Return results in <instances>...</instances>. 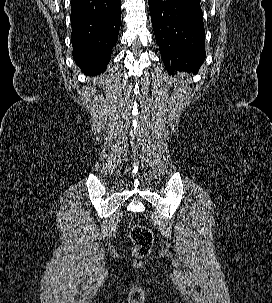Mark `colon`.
Wrapping results in <instances>:
<instances>
[{"label": "colon", "instance_id": "1", "mask_svg": "<svg viewBox=\"0 0 272 303\" xmlns=\"http://www.w3.org/2000/svg\"><path fill=\"white\" fill-rule=\"evenodd\" d=\"M133 253L138 258L148 256L153 244V233L144 225L135 224L130 230Z\"/></svg>", "mask_w": 272, "mask_h": 303}]
</instances>
